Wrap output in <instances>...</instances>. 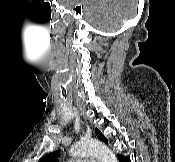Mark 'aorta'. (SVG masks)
I'll return each mask as SVG.
<instances>
[{"label": "aorta", "mask_w": 175, "mask_h": 162, "mask_svg": "<svg viewBox=\"0 0 175 162\" xmlns=\"http://www.w3.org/2000/svg\"><path fill=\"white\" fill-rule=\"evenodd\" d=\"M70 153L74 157L94 156L99 162H118L113 151L104 143L95 139L77 142L71 147Z\"/></svg>", "instance_id": "aorta-1"}]
</instances>
